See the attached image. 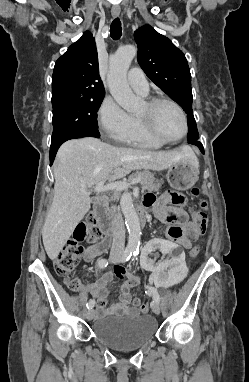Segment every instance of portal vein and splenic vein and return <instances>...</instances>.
Segmentation results:
<instances>
[{
	"label": "portal vein and splenic vein",
	"mask_w": 249,
	"mask_h": 382,
	"mask_svg": "<svg viewBox=\"0 0 249 382\" xmlns=\"http://www.w3.org/2000/svg\"><path fill=\"white\" fill-rule=\"evenodd\" d=\"M140 181H141V178H135L130 182L115 181V182H110L106 185H104V182H100L94 187L93 191L96 193H102V192H106L109 190L122 191V190L128 189V187L130 185H135V184L139 183ZM83 193L85 195H90L92 193V190L88 191V192L83 191Z\"/></svg>",
	"instance_id": "18ae733b"
}]
</instances>
